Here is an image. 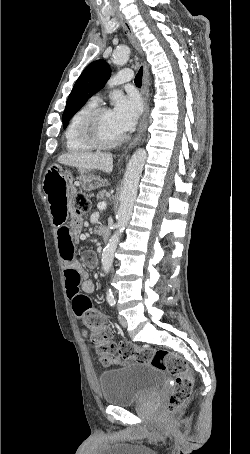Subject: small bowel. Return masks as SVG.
<instances>
[{
	"mask_svg": "<svg viewBox=\"0 0 250 454\" xmlns=\"http://www.w3.org/2000/svg\"><path fill=\"white\" fill-rule=\"evenodd\" d=\"M74 190L75 181L69 173L51 171L45 177L44 192L50 205L53 222L57 227L68 298L77 318L87 325L91 315L102 313L88 298V295L94 291V284L88 279L86 271L74 253L75 240L81 234L83 221L80 217L74 216L71 224H66L68 203ZM82 256L87 264H95L96 256L92 251H86Z\"/></svg>",
	"mask_w": 250,
	"mask_h": 454,
	"instance_id": "c3829d8e",
	"label": "small bowel"
}]
</instances>
